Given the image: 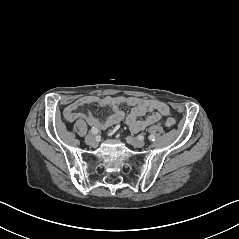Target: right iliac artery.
Returning <instances> with one entry per match:
<instances>
[{"mask_svg":"<svg viewBox=\"0 0 239 239\" xmlns=\"http://www.w3.org/2000/svg\"><path fill=\"white\" fill-rule=\"evenodd\" d=\"M93 135H96L98 133V129L97 128H92L90 131Z\"/></svg>","mask_w":239,"mask_h":239,"instance_id":"1","label":"right iliac artery"}]
</instances>
